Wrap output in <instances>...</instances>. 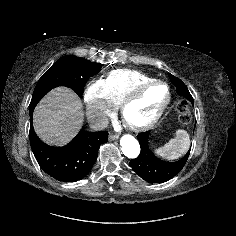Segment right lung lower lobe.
<instances>
[{
	"label": "right lung lower lobe",
	"instance_id": "obj_1",
	"mask_svg": "<svg viewBox=\"0 0 236 236\" xmlns=\"http://www.w3.org/2000/svg\"><path fill=\"white\" fill-rule=\"evenodd\" d=\"M34 107L29 108L30 144L41 169L56 180L74 182L84 178L92 169L101 144L108 141V132H88L81 130L64 147H54L43 143L33 129Z\"/></svg>",
	"mask_w": 236,
	"mask_h": 236
}]
</instances>
